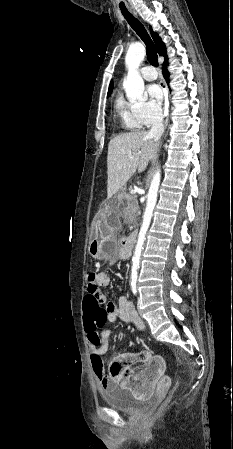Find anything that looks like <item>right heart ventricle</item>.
Returning a JSON list of instances; mask_svg holds the SVG:
<instances>
[{
    "mask_svg": "<svg viewBox=\"0 0 233 449\" xmlns=\"http://www.w3.org/2000/svg\"><path fill=\"white\" fill-rule=\"evenodd\" d=\"M114 111L123 129L137 131L142 127L135 112V103L125 99L122 94L115 99Z\"/></svg>",
    "mask_w": 233,
    "mask_h": 449,
    "instance_id": "right-heart-ventricle-1",
    "label": "right heart ventricle"
}]
</instances>
